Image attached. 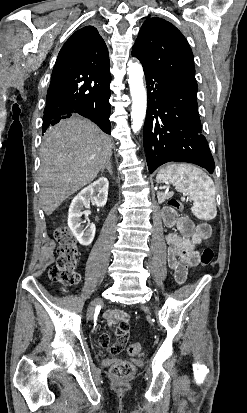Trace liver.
Listing matches in <instances>:
<instances>
[{
    "mask_svg": "<svg viewBox=\"0 0 247 413\" xmlns=\"http://www.w3.org/2000/svg\"><path fill=\"white\" fill-rule=\"evenodd\" d=\"M113 142L97 124L73 114L49 126L40 148V198L52 215L70 194L89 184L112 156Z\"/></svg>",
    "mask_w": 247,
    "mask_h": 413,
    "instance_id": "obj_1",
    "label": "liver"
}]
</instances>
